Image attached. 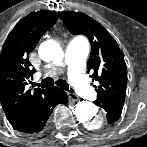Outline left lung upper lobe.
I'll return each instance as SVG.
<instances>
[{"instance_id": "obj_1", "label": "left lung upper lobe", "mask_w": 147, "mask_h": 147, "mask_svg": "<svg viewBox=\"0 0 147 147\" xmlns=\"http://www.w3.org/2000/svg\"><path fill=\"white\" fill-rule=\"evenodd\" d=\"M62 20L72 34H83L91 42L88 70L99 82L96 102L125 98L127 72L124 57L115 39L98 22L84 13L63 12ZM88 71V73H89Z\"/></svg>"}]
</instances>
